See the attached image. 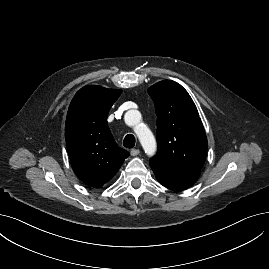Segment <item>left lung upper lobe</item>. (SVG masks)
<instances>
[{
    "instance_id": "5c2ea615",
    "label": "left lung upper lobe",
    "mask_w": 269,
    "mask_h": 269,
    "mask_svg": "<svg viewBox=\"0 0 269 269\" xmlns=\"http://www.w3.org/2000/svg\"><path fill=\"white\" fill-rule=\"evenodd\" d=\"M148 93L157 115L158 152L151 160L200 171L208 143L192 98L180 84L171 80L156 83Z\"/></svg>"
}]
</instances>
